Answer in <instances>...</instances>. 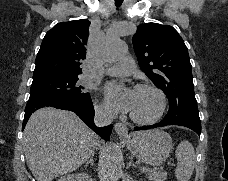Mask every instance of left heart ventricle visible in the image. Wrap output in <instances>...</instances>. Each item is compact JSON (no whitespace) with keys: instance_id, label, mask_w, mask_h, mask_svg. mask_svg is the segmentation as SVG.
I'll use <instances>...</instances> for the list:
<instances>
[{"instance_id":"b2bd125f","label":"left heart ventricle","mask_w":228,"mask_h":181,"mask_svg":"<svg viewBox=\"0 0 228 181\" xmlns=\"http://www.w3.org/2000/svg\"><path fill=\"white\" fill-rule=\"evenodd\" d=\"M115 78L121 87H126L128 83L124 79L123 73H116ZM132 91V108L134 115L147 118L157 109L159 100L155 92L147 88L131 89Z\"/></svg>"}]
</instances>
